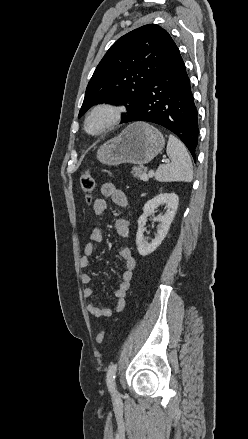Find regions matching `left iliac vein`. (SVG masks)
<instances>
[{
    "instance_id": "1",
    "label": "left iliac vein",
    "mask_w": 248,
    "mask_h": 439,
    "mask_svg": "<svg viewBox=\"0 0 248 439\" xmlns=\"http://www.w3.org/2000/svg\"><path fill=\"white\" fill-rule=\"evenodd\" d=\"M114 396H115V397H117V396H118V393H117V391H116V390H114Z\"/></svg>"
}]
</instances>
